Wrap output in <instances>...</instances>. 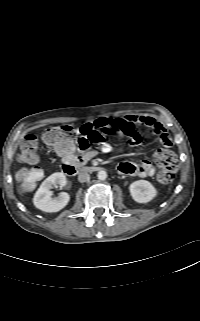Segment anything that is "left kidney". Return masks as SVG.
Returning <instances> with one entry per match:
<instances>
[{
	"label": "left kidney",
	"mask_w": 200,
	"mask_h": 321,
	"mask_svg": "<svg viewBox=\"0 0 200 321\" xmlns=\"http://www.w3.org/2000/svg\"><path fill=\"white\" fill-rule=\"evenodd\" d=\"M130 194L134 201L147 203L157 195L155 187L147 180H138L130 184Z\"/></svg>",
	"instance_id": "left-kidney-1"
}]
</instances>
